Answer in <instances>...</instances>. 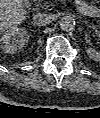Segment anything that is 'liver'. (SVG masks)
<instances>
[{
	"label": "liver",
	"mask_w": 100,
	"mask_h": 118,
	"mask_svg": "<svg viewBox=\"0 0 100 118\" xmlns=\"http://www.w3.org/2000/svg\"><path fill=\"white\" fill-rule=\"evenodd\" d=\"M26 13L20 0H1L0 3V26L1 30L16 27L21 24Z\"/></svg>",
	"instance_id": "6515ba94"
}]
</instances>
